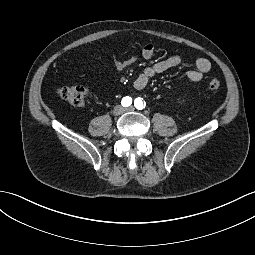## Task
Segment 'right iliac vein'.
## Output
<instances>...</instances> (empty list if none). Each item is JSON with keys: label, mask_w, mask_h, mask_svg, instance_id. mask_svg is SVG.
Listing matches in <instances>:
<instances>
[{"label": "right iliac vein", "mask_w": 255, "mask_h": 255, "mask_svg": "<svg viewBox=\"0 0 255 255\" xmlns=\"http://www.w3.org/2000/svg\"><path fill=\"white\" fill-rule=\"evenodd\" d=\"M124 108L121 105H117L114 107V109L112 110V114L114 116H119L124 112Z\"/></svg>", "instance_id": "1"}]
</instances>
